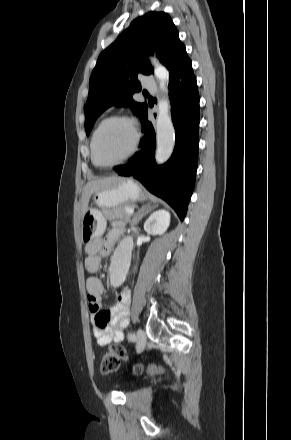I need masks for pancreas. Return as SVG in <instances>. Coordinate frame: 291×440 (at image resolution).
<instances>
[{
	"mask_svg": "<svg viewBox=\"0 0 291 440\" xmlns=\"http://www.w3.org/2000/svg\"><path fill=\"white\" fill-rule=\"evenodd\" d=\"M126 206H117L114 208H102V213L104 217L108 220L120 219L124 221H129L131 215L125 211Z\"/></svg>",
	"mask_w": 291,
	"mask_h": 440,
	"instance_id": "obj_1",
	"label": "pancreas"
}]
</instances>
